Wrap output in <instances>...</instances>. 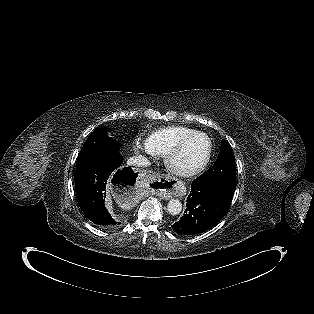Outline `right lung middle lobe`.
Wrapping results in <instances>:
<instances>
[{
	"instance_id": "1",
	"label": "right lung middle lobe",
	"mask_w": 314,
	"mask_h": 314,
	"mask_svg": "<svg viewBox=\"0 0 314 314\" xmlns=\"http://www.w3.org/2000/svg\"><path fill=\"white\" fill-rule=\"evenodd\" d=\"M109 131L108 128H100L90 134L78 155L76 169L109 154L112 150H119V142L109 137Z\"/></svg>"
}]
</instances>
